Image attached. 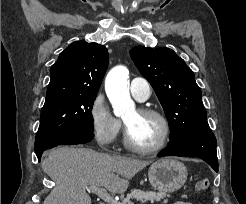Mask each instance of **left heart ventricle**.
Wrapping results in <instances>:
<instances>
[{
  "instance_id": "left-heart-ventricle-1",
  "label": "left heart ventricle",
  "mask_w": 246,
  "mask_h": 204,
  "mask_svg": "<svg viewBox=\"0 0 246 204\" xmlns=\"http://www.w3.org/2000/svg\"><path fill=\"white\" fill-rule=\"evenodd\" d=\"M124 121L132 142L138 146L151 147L161 139L163 125L155 116L143 115L135 110L129 113Z\"/></svg>"
}]
</instances>
